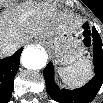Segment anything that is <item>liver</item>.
Instances as JSON below:
<instances>
[{
  "instance_id": "obj_1",
  "label": "liver",
  "mask_w": 103,
  "mask_h": 103,
  "mask_svg": "<svg viewBox=\"0 0 103 103\" xmlns=\"http://www.w3.org/2000/svg\"><path fill=\"white\" fill-rule=\"evenodd\" d=\"M81 27L71 14L58 10L47 1L28 0L0 19V41L15 47L1 54L9 56L31 37H50L64 30Z\"/></svg>"
}]
</instances>
